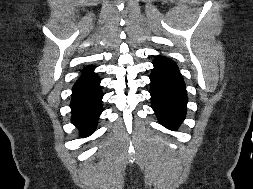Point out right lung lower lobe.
<instances>
[{
  "mask_svg": "<svg viewBox=\"0 0 253 189\" xmlns=\"http://www.w3.org/2000/svg\"><path fill=\"white\" fill-rule=\"evenodd\" d=\"M99 84L100 79L95 75L80 78L72 89L71 121L80 129L83 137L95 131L97 120L102 112L103 93Z\"/></svg>",
  "mask_w": 253,
  "mask_h": 189,
  "instance_id": "1",
  "label": "right lung lower lobe"
}]
</instances>
